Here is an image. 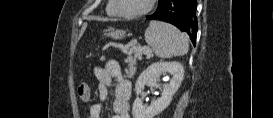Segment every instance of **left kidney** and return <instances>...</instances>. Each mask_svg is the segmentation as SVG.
I'll return each mask as SVG.
<instances>
[{
    "label": "left kidney",
    "mask_w": 273,
    "mask_h": 118,
    "mask_svg": "<svg viewBox=\"0 0 273 118\" xmlns=\"http://www.w3.org/2000/svg\"><path fill=\"white\" fill-rule=\"evenodd\" d=\"M168 74L171 76L169 84L163 85L161 96L153 100L148 106L138 97L145 85L159 87L158 76ZM184 77V68L179 62H157L151 64L140 74L135 84L137 98L132 107L133 118H154V116L165 110L172 101Z\"/></svg>",
    "instance_id": "obj_1"
}]
</instances>
